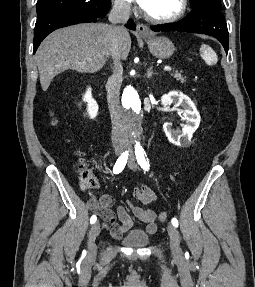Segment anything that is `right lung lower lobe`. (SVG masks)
<instances>
[{
  "label": "right lung lower lobe",
  "mask_w": 255,
  "mask_h": 287,
  "mask_svg": "<svg viewBox=\"0 0 255 287\" xmlns=\"http://www.w3.org/2000/svg\"><path fill=\"white\" fill-rule=\"evenodd\" d=\"M105 17V16H104ZM98 17L92 15L90 12L82 10H71L60 12L56 14L49 15L45 18L37 20L34 29V52H36L38 46L43 41V39L50 34L52 31L66 27L69 25H74L78 23L86 22H96ZM127 28L135 30L136 25L132 19H129L126 25Z\"/></svg>",
  "instance_id": "98d812e1"
}]
</instances>
